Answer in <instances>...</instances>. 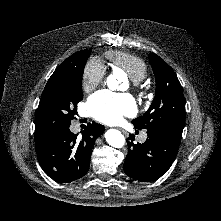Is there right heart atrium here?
<instances>
[{"instance_id":"obj_1","label":"right heart atrium","mask_w":221,"mask_h":221,"mask_svg":"<svg viewBox=\"0 0 221 221\" xmlns=\"http://www.w3.org/2000/svg\"><path fill=\"white\" fill-rule=\"evenodd\" d=\"M106 78V68L97 58L89 59L81 74V85L85 92H91L101 85Z\"/></svg>"}]
</instances>
